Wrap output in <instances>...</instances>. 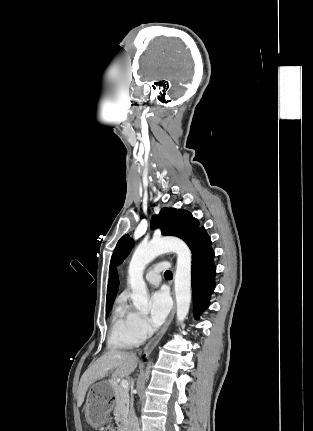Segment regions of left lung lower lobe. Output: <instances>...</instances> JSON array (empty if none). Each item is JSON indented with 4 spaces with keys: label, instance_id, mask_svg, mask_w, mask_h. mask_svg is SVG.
I'll return each mask as SVG.
<instances>
[{
    "label": "left lung lower lobe",
    "instance_id": "left-lung-lower-lobe-1",
    "mask_svg": "<svg viewBox=\"0 0 313 431\" xmlns=\"http://www.w3.org/2000/svg\"><path fill=\"white\" fill-rule=\"evenodd\" d=\"M192 253V292L194 317L208 308L210 296L215 289L216 268L211 239L205 229L201 230L190 247Z\"/></svg>",
    "mask_w": 313,
    "mask_h": 431
}]
</instances>
